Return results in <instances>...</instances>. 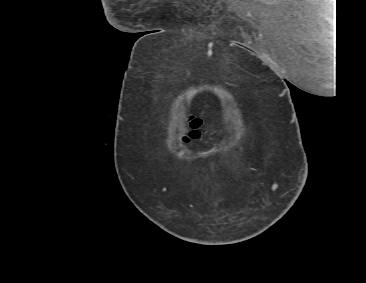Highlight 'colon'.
<instances>
[{"label":"colon","instance_id":"5ec220e1","mask_svg":"<svg viewBox=\"0 0 366 283\" xmlns=\"http://www.w3.org/2000/svg\"><path fill=\"white\" fill-rule=\"evenodd\" d=\"M188 124L190 127V132H189V135L185 139L188 140V139L198 138L201 133L200 132L201 120L198 118L192 117L188 120Z\"/></svg>","mask_w":366,"mask_h":283}]
</instances>
